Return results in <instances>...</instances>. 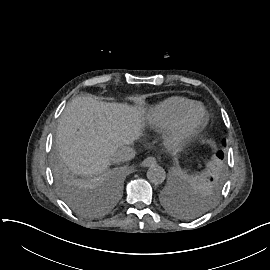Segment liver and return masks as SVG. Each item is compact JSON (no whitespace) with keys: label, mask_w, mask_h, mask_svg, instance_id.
<instances>
[{"label":"liver","mask_w":270,"mask_h":270,"mask_svg":"<svg viewBox=\"0 0 270 270\" xmlns=\"http://www.w3.org/2000/svg\"><path fill=\"white\" fill-rule=\"evenodd\" d=\"M144 113L141 106L76 97L59 118L56 150L74 174H102L120 147L143 135Z\"/></svg>","instance_id":"liver-1"}]
</instances>
